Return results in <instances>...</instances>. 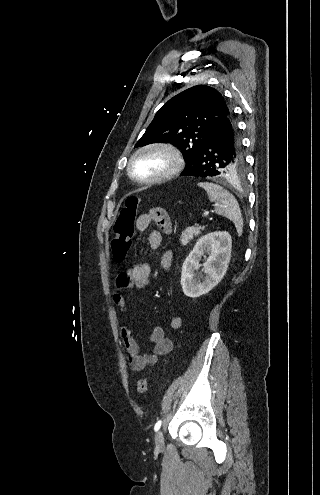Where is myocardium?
<instances>
[{
  "label": "myocardium",
  "instance_id": "1",
  "mask_svg": "<svg viewBox=\"0 0 320 495\" xmlns=\"http://www.w3.org/2000/svg\"><path fill=\"white\" fill-rule=\"evenodd\" d=\"M150 152H159L166 155L169 158L170 164L168 168L162 173L150 177V178H140L137 177L133 172V164L135 160L142 154ZM183 167V158L179 150L169 143H150L138 148L129 158L127 164L128 175L139 184L152 185L163 182L177 175Z\"/></svg>",
  "mask_w": 320,
  "mask_h": 495
}]
</instances>
